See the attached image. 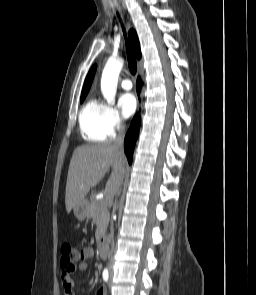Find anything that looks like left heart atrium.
Wrapping results in <instances>:
<instances>
[{
    "label": "left heart atrium",
    "instance_id": "obj_1",
    "mask_svg": "<svg viewBox=\"0 0 256 295\" xmlns=\"http://www.w3.org/2000/svg\"><path fill=\"white\" fill-rule=\"evenodd\" d=\"M119 106H120L122 115L125 118L132 116L137 107L135 96L131 93L123 94L119 99Z\"/></svg>",
    "mask_w": 256,
    "mask_h": 295
}]
</instances>
